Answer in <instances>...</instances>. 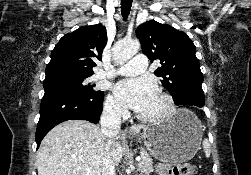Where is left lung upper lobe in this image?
<instances>
[{
  "instance_id": "5c2ea615",
  "label": "left lung upper lobe",
  "mask_w": 251,
  "mask_h": 175,
  "mask_svg": "<svg viewBox=\"0 0 251 175\" xmlns=\"http://www.w3.org/2000/svg\"><path fill=\"white\" fill-rule=\"evenodd\" d=\"M136 35L150 61L160 60L162 66L154 73L162 77L161 82L173 100L182 96L204 100L196 47L186 33L150 20L137 28Z\"/></svg>"
}]
</instances>
